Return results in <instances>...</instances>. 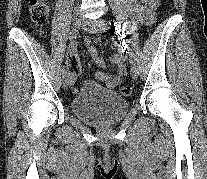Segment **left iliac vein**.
<instances>
[{
  "instance_id": "4c4485c4",
  "label": "left iliac vein",
  "mask_w": 207,
  "mask_h": 179,
  "mask_svg": "<svg viewBox=\"0 0 207 179\" xmlns=\"http://www.w3.org/2000/svg\"><path fill=\"white\" fill-rule=\"evenodd\" d=\"M82 28L88 32L97 33V32H102V31L106 30L107 23H106V21H104L102 19H98L95 22L83 19ZM130 73H131V76L133 79L138 78L139 71H138V67H137L136 63L131 65Z\"/></svg>"
}]
</instances>
